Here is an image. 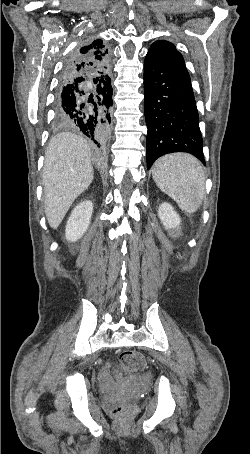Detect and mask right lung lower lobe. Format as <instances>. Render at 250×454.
I'll return each mask as SVG.
<instances>
[{
	"label": "right lung lower lobe",
	"instance_id": "right-lung-lower-lobe-1",
	"mask_svg": "<svg viewBox=\"0 0 250 454\" xmlns=\"http://www.w3.org/2000/svg\"><path fill=\"white\" fill-rule=\"evenodd\" d=\"M87 44L76 49L67 64L77 58ZM104 52L108 53V49ZM93 82L96 88L89 95L83 89ZM111 107L112 87L108 71L100 74L85 72L71 78H61L55 101L58 124L81 131L102 149L106 147L110 136Z\"/></svg>",
	"mask_w": 250,
	"mask_h": 454
}]
</instances>
